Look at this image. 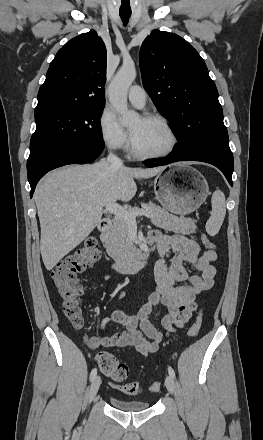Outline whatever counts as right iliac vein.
<instances>
[{
  "instance_id": "right-iliac-vein-1",
  "label": "right iliac vein",
  "mask_w": 263,
  "mask_h": 440,
  "mask_svg": "<svg viewBox=\"0 0 263 440\" xmlns=\"http://www.w3.org/2000/svg\"><path fill=\"white\" fill-rule=\"evenodd\" d=\"M100 385H101V378H100V376H96L93 379L91 386H90V390H89V400L90 401L93 400L94 397L96 396V394L100 388Z\"/></svg>"
}]
</instances>
